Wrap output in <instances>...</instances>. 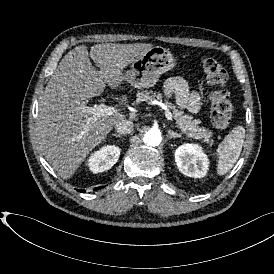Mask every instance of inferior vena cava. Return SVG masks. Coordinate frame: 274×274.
Listing matches in <instances>:
<instances>
[{
    "label": "inferior vena cava",
    "instance_id": "1",
    "mask_svg": "<svg viewBox=\"0 0 274 274\" xmlns=\"http://www.w3.org/2000/svg\"><path fill=\"white\" fill-rule=\"evenodd\" d=\"M133 128V122H131L130 120H122L115 125L116 132L122 135L130 133Z\"/></svg>",
    "mask_w": 274,
    "mask_h": 274
}]
</instances>
